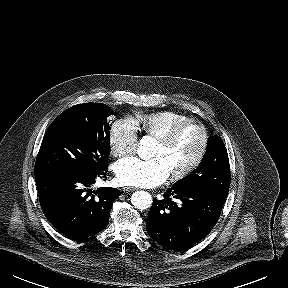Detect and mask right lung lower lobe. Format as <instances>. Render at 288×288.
Returning a JSON list of instances; mask_svg holds the SVG:
<instances>
[{
    "mask_svg": "<svg viewBox=\"0 0 288 288\" xmlns=\"http://www.w3.org/2000/svg\"><path fill=\"white\" fill-rule=\"evenodd\" d=\"M106 170L94 176L58 171L35 174L41 208L60 233L82 240L108 225L112 204L121 192L90 188L97 178L106 177Z\"/></svg>",
    "mask_w": 288,
    "mask_h": 288,
    "instance_id": "98d812e1",
    "label": "right lung lower lobe"
}]
</instances>
